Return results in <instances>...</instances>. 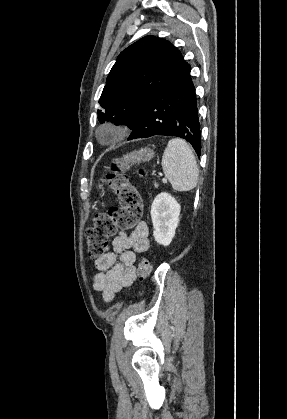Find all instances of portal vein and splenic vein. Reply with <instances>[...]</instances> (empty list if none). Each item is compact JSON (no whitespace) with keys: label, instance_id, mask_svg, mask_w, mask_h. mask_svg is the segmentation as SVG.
<instances>
[{"label":"portal vein and splenic vein","instance_id":"obj_1","mask_svg":"<svg viewBox=\"0 0 287 419\" xmlns=\"http://www.w3.org/2000/svg\"><path fill=\"white\" fill-rule=\"evenodd\" d=\"M163 182H167V180L166 179H163Z\"/></svg>","mask_w":287,"mask_h":419}]
</instances>
